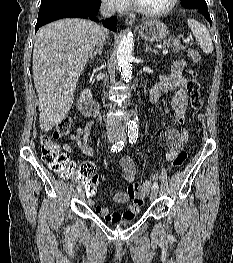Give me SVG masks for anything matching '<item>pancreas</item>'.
I'll return each mask as SVG.
<instances>
[{
	"mask_svg": "<svg viewBox=\"0 0 233 263\" xmlns=\"http://www.w3.org/2000/svg\"><path fill=\"white\" fill-rule=\"evenodd\" d=\"M172 46V52L179 53L181 49H185L178 40L175 38H170L169 40H166L163 42V46Z\"/></svg>",
	"mask_w": 233,
	"mask_h": 263,
	"instance_id": "obj_1",
	"label": "pancreas"
}]
</instances>
